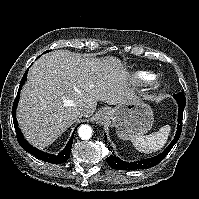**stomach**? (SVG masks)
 Wrapping results in <instances>:
<instances>
[{"label": "stomach", "mask_w": 199, "mask_h": 199, "mask_svg": "<svg viewBox=\"0 0 199 199\" xmlns=\"http://www.w3.org/2000/svg\"><path fill=\"white\" fill-rule=\"evenodd\" d=\"M106 111V120L113 123L117 135L124 140L144 135L153 126L152 109L138 95H131Z\"/></svg>", "instance_id": "0dacf381"}]
</instances>
